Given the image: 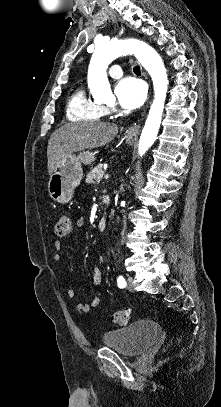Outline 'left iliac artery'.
Wrapping results in <instances>:
<instances>
[{
  "label": "left iliac artery",
  "instance_id": "1",
  "mask_svg": "<svg viewBox=\"0 0 221 407\" xmlns=\"http://www.w3.org/2000/svg\"><path fill=\"white\" fill-rule=\"evenodd\" d=\"M117 284L119 288H124L126 286V281L122 276L117 278Z\"/></svg>",
  "mask_w": 221,
  "mask_h": 407
}]
</instances>
